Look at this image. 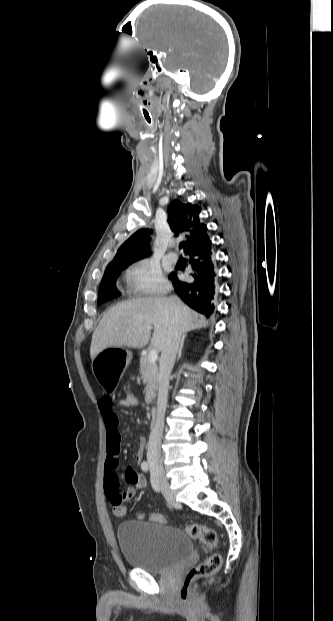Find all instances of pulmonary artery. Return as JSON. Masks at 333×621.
<instances>
[{"label": "pulmonary artery", "instance_id": "pulmonary-artery-1", "mask_svg": "<svg viewBox=\"0 0 333 621\" xmlns=\"http://www.w3.org/2000/svg\"><path fill=\"white\" fill-rule=\"evenodd\" d=\"M167 258L171 261V262H176L178 260V255L175 252H169L167 254Z\"/></svg>", "mask_w": 333, "mask_h": 621}]
</instances>
